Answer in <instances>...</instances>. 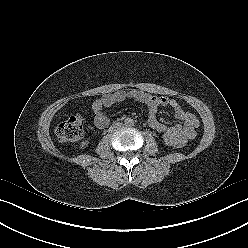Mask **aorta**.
<instances>
[{
	"label": "aorta",
	"mask_w": 248,
	"mask_h": 248,
	"mask_svg": "<svg viewBox=\"0 0 248 248\" xmlns=\"http://www.w3.org/2000/svg\"><path fill=\"white\" fill-rule=\"evenodd\" d=\"M125 126H127V127H132V126H134V121H133V119L127 118V119L125 120Z\"/></svg>",
	"instance_id": "762f6f07"
}]
</instances>
